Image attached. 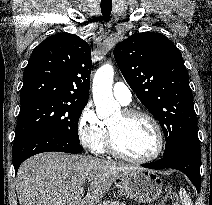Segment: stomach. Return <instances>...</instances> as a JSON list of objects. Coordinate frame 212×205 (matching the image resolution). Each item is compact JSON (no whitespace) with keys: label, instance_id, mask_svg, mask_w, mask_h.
Instances as JSON below:
<instances>
[{"label":"stomach","instance_id":"obj_1","mask_svg":"<svg viewBox=\"0 0 212 205\" xmlns=\"http://www.w3.org/2000/svg\"><path fill=\"white\" fill-rule=\"evenodd\" d=\"M120 186L125 196L145 204L159 198L163 181L155 172L137 168L121 176Z\"/></svg>","mask_w":212,"mask_h":205}]
</instances>
